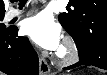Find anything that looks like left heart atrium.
Returning <instances> with one entry per match:
<instances>
[{"mask_svg":"<svg viewBox=\"0 0 107 75\" xmlns=\"http://www.w3.org/2000/svg\"><path fill=\"white\" fill-rule=\"evenodd\" d=\"M24 33L37 45L48 50H56L61 46V27L46 12L27 18L23 23Z\"/></svg>","mask_w":107,"mask_h":75,"instance_id":"obj_1","label":"left heart atrium"}]
</instances>
